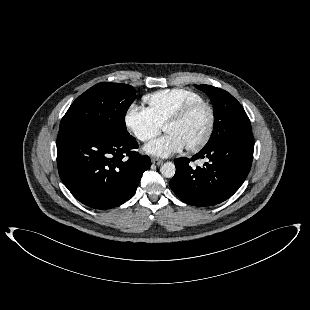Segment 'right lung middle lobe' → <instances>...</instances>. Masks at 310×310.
Segmentation results:
<instances>
[{"instance_id": "obj_1", "label": "right lung middle lobe", "mask_w": 310, "mask_h": 310, "mask_svg": "<svg viewBox=\"0 0 310 310\" xmlns=\"http://www.w3.org/2000/svg\"><path fill=\"white\" fill-rule=\"evenodd\" d=\"M136 90L127 84L103 82L80 95L61 120L59 131L87 129L121 138L130 135L125 115L135 99Z\"/></svg>"}]
</instances>
